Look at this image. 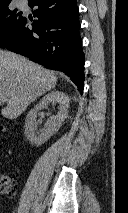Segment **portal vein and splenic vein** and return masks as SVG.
<instances>
[{
	"label": "portal vein and splenic vein",
	"mask_w": 128,
	"mask_h": 213,
	"mask_svg": "<svg viewBox=\"0 0 128 213\" xmlns=\"http://www.w3.org/2000/svg\"><path fill=\"white\" fill-rule=\"evenodd\" d=\"M0 102H3L1 98H0Z\"/></svg>",
	"instance_id": "1"
}]
</instances>
